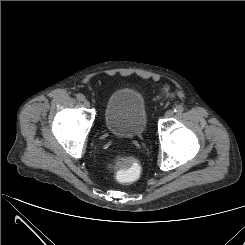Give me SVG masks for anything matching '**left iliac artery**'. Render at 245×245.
Returning <instances> with one entry per match:
<instances>
[{"instance_id":"1","label":"left iliac artery","mask_w":245,"mask_h":245,"mask_svg":"<svg viewBox=\"0 0 245 245\" xmlns=\"http://www.w3.org/2000/svg\"><path fill=\"white\" fill-rule=\"evenodd\" d=\"M184 111V107L182 105H177L175 108H174V112L175 113H182Z\"/></svg>"}]
</instances>
